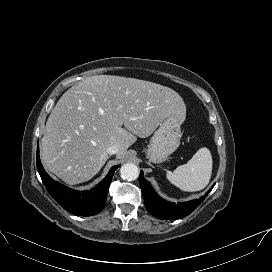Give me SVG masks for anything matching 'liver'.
<instances>
[{
	"label": "liver",
	"instance_id": "6515ba94",
	"mask_svg": "<svg viewBox=\"0 0 272 272\" xmlns=\"http://www.w3.org/2000/svg\"><path fill=\"white\" fill-rule=\"evenodd\" d=\"M170 115L186 118V105L171 88L114 75L87 77L53 108L41 140L42 163L66 184L86 182L108 160L109 146L118 145L117 158H123L137 137L150 136Z\"/></svg>",
	"mask_w": 272,
	"mask_h": 272
}]
</instances>
